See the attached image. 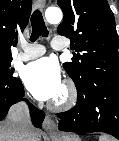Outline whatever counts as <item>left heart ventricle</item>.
I'll list each match as a JSON object with an SVG mask.
<instances>
[{
  "mask_svg": "<svg viewBox=\"0 0 119 141\" xmlns=\"http://www.w3.org/2000/svg\"><path fill=\"white\" fill-rule=\"evenodd\" d=\"M61 96H62V89H61V91L59 92V94L54 99H59Z\"/></svg>",
  "mask_w": 119,
  "mask_h": 141,
  "instance_id": "b2bd125f",
  "label": "left heart ventricle"
}]
</instances>
